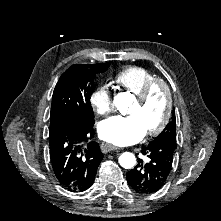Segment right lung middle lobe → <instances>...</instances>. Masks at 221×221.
Masks as SVG:
<instances>
[{
	"instance_id": "obj_1",
	"label": "right lung middle lobe",
	"mask_w": 221,
	"mask_h": 221,
	"mask_svg": "<svg viewBox=\"0 0 221 221\" xmlns=\"http://www.w3.org/2000/svg\"><path fill=\"white\" fill-rule=\"evenodd\" d=\"M109 66L110 62L75 64L61 75L52 96L50 129L64 122L94 124L91 85L96 74L103 73Z\"/></svg>"
}]
</instances>
